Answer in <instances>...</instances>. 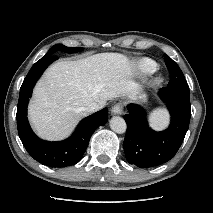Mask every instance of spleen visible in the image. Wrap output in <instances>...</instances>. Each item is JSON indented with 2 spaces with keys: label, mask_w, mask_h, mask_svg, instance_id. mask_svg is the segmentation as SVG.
Returning <instances> with one entry per match:
<instances>
[{
  "label": "spleen",
  "mask_w": 213,
  "mask_h": 213,
  "mask_svg": "<svg viewBox=\"0 0 213 213\" xmlns=\"http://www.w3.org/2000/svg\"><path fill=\"white\" fill-rule=\"evenodd\" d=\"M168 112L158 109L151 114V125L155 128H161L167 123Z\"/></svg>",
  "instance_id": "obj_1"
}]
</instances>
